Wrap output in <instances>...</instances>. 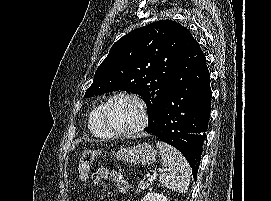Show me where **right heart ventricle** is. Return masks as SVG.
I'll list each match as a JSON object with an SVG mask.
<instances>
[{"label": "right heart ventricle", "mask_w": 271, "mask_h": 201, "mask_svg": "<svg viewBox=\"0 0 271 201\" xmlns=\"http://www.w3.org/2000/svg\"><path fill=\"white\" fill-rule=\"evenodd\" d=\"M103 104L95 106L89 114L88 127L90 132L99 138H108L113 136L104 126L101 118V109Z\"/></svg>", "instance_id": "right-heart-ventricle-1"}]
</instances>
